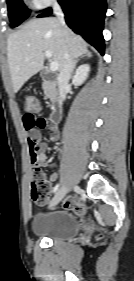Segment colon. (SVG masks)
<instances>
[{"mask_svg":"<svg viewBox=\"0 0 134 281\" xmlns=\"http://www.w3.org/2000/svg\"><path fill=\"white\" fill-rule=\"evenodd\" d=\"M25 107L29 112H36L39 109V103L36 98L29 96L25 100ZM50 192L51 186L46 180L44 173L40 168H35L30 181L31 199L34 203L43 205L49 200ZM64 207L79 215H83L86 212L84 203L73 198L66 199L64 201Z\"/></svg>","mask_w":134,"mask_h":281,"instance_id":"colon-1","label":"colon"}]
</instances>
